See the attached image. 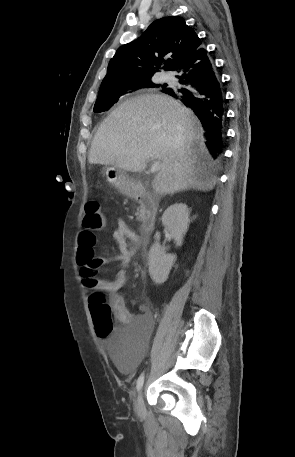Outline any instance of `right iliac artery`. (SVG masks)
Instances as JSON below:
<instances>
[{"label": "right iliac artery", "instance_id": "1", "mask_svg": "<svg viewBox=\"0 0 295 457\" xmlns=\"http://www.w3.org/2000/svg\"><path fill=\"white\" fill-rule=\"evenodd\" d=\"M143 382H144V373H142L138 380H137V384H136V388L137 390L139 391L141 389V387L143 386Z\"/></svg>", "mask_w": 295, "mask_h": 457}]
</instances>
